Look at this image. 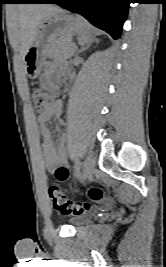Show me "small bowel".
I'll return each mask as SVG.
<instances>
[{
	"label": "small bowel",
	"mask_w": 166,
	"mask_h": 267,
	"mask_svg": "<svg viewBox=\"0 0 166 267\" xmlns=\"http://www.w3.org/2000/svg\"><path fill=\"white\" fill-rule=\"evenodd\" d=\"M67 71V68L57 63L48 62L45 67V72L42 77L44 85L50 89L58 87V72ZM62 104L56 101L50 108L41 112L37 116V124L41 136L42 153L45 167L48 171L54 173L58 179L65 180L68 176L67 161L65 153V144L61 139L58 146L55 145L52 132L47 126V122L54 117H60ZM64 173L63 178H59V174Z\"/></svg>",
	"instance_id": "small-bowel-1"
}]
</instances>
